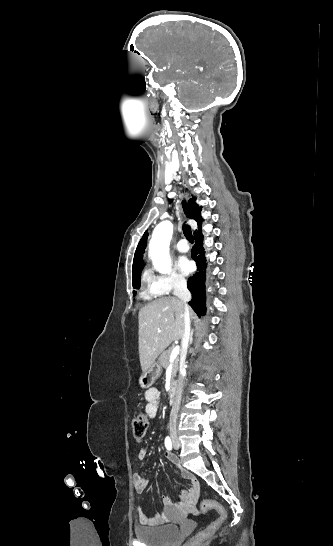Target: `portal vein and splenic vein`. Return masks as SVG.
Masks as SVG:
<instances>
[{
	"label": "portal vein and splenic vein",
	"instance_id": "18ae733b",
	"mask_svg": "<svg viewBox=\"0 0 333 546\" xmlns=\"http://www.w3.org/2000/svg\"><path fill=\"white\" fill-rule=\"evenodd\" d=\"M179 352H180V347L179 346H175L173 349H172V352H171V355H170V362H174V360L177 358V356L179 355Z\"/></svg>",
	"mask_w": 333,
	"mask_h": 546
}]
</instances>
